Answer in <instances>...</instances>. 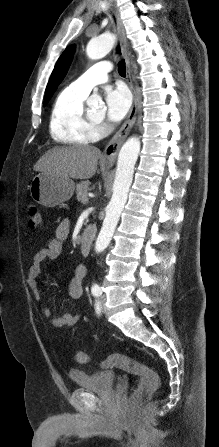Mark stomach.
<instances>
[{
  "mask_svg": "<svg viewBox=\"0 0 219 447\" xmlns=\"http://www.w3.org/2000/svg\"><path fill=\"white\" fill-rule=\"evenodd\" d=\"M29 190L32 199L38 204L55 207L72 197L75 184L70 178L41 172L33 177Z\"/></svg>",
  "mask_w": 219,
  "mask_h": 447,
  "instance_id": "0dacf381",
  "label": "stomach"
}]
</instances>
